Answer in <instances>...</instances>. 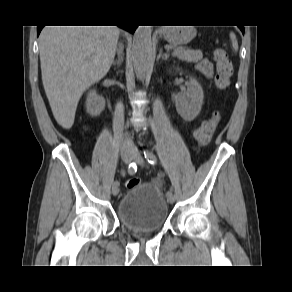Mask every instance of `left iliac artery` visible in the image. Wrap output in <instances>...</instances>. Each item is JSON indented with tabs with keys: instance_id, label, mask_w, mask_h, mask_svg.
<instances>
[{
	"instance_id": "obj_1",
	"label": "left iliac artery",
	"mask_w": 292,
	"mask_h": 292,
	"mask_svg": "<svg viewBox=\"0 0 292 292\" xmlns=\"http://www.w3.org/2000/svg\"><path fill=\"white\" fill-rule=\"evenodd\" d=\"M144 156H145L146 160H147L151 165H155V164L157 163V158H156V156H155L152 152L146 150V151H144ZM172 192H173L172 189H170V190L166 193V195L169 196L170 194H172Z\"/></svg>"
}]
</instances>
